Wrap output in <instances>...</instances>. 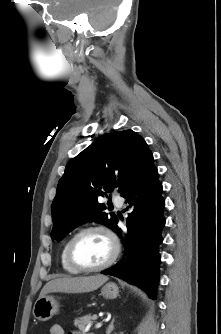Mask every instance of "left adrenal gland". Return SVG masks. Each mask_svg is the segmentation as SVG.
I'll return each instance as SVG.
<instances>
[{"instance_id": "left-adrenal-gland-1", "label": "left adrenal gland", "mask_w": 221, "mask_h": 334, "mask_svg": "<svg viewBox=\"0 0 221 334\" xmlns=\"http://www.w3.org/2000/svg\"><path fill=\"white\" fill-rule=\"evenodd\" d=\"M114 330V318L112 319L111 323L109 324L106 334H110Z\"/></svg>"}]
</instances>
